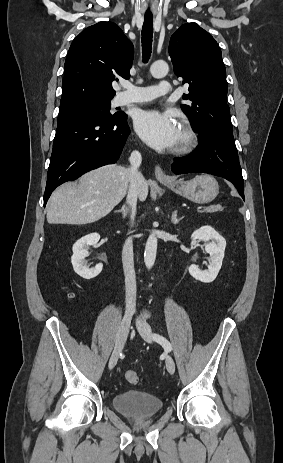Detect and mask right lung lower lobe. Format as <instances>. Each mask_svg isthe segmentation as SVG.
I'll list each match as a JSON object with an SVG mask.
<instances>
[{"instance_id": "98d812e1", "label": "right lung lower lobe", "mask_w": 283, "mask_h": 463, "mask_svg": "<svg viewBox=\"0 0 283 463\" xmlns=\"http://www.w3.org/2000/svg\"><path fill=\"white\" fill-rule=\"evenodd\" d=\"M130 129L127 115L84 114L58 123L47 175L44 206L56 187L106 164L115 163Z\"/></svg>"}]
</instances>
